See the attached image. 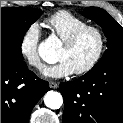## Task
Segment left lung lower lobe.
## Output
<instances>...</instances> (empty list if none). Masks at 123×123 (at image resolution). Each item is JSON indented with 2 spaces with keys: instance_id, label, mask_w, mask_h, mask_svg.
Wrapping results in <instances>:
<instances>
[{
  "instance_id": "left-lung-lower-lobe-1",
  "label": "left lung lower lobe",
  "mask_w": 123,
  "mask_h": 123,
  "mask_svg": "<svg viewBox=\"0 0 123 123\" xmlns=\"http://www.w3.org/2000/svg\"><path fill=\"white\" fill-rule=\"evenodd\" d=\"M63 123H123V57L96 64L81 78L62 82Z\"/></svg>"
}]
</instances>
